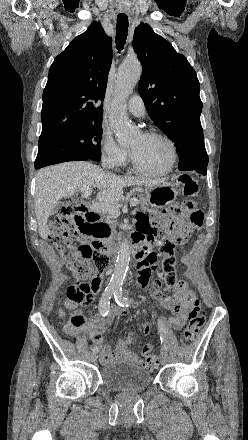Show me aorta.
Here are the masks:
<instances>
[{"instance_id":"762f6f07","label":"aorta","mask_w":248,"mask_h":440,"mask_svg":"<svg viewBox=\"0 0 248 440\" xmlns=\"http://www.w3.org/2000/svg\"><path fill=\"white\" fill-rule=\"evenodd\" d=\"M142 67L137 59H127L119 67L114 92L113 107L110 114V125L117 140L122 145L130 144L137 135V128L129 123L125 102L131 95L140 79ZM130 261V245L125 239L119 248L114 272L109 286L120 289L128 270Z\"/></svg>"}]
</instances>
